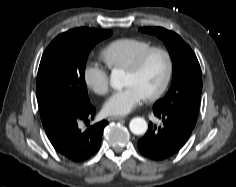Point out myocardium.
I'll return each mask as SVG.
<instances>
[{"label": "myocardium", "instance_id": "f54148a6", "mask_svg": "<svg viewBox=\"0 0 236 187\" xmlns=\"http://www.w3.org/2000/svg\"><path fill=\"white\" fill-rule=\"evenodd\" d=\"M154 54H161L165 61H166V73L163 82L159 86L157 90L154 92L147 94L144 98L147 101H154L160 98L168 89L173 73H174V61L170 52L161 47H151L150 49L146 50L145 52L141 53L133 62L132 64L126 69L128 72L132 74L139 73L147 60Z\"/></svg>", "mask_w": 236, "mask_h": 187}]
</instances>
